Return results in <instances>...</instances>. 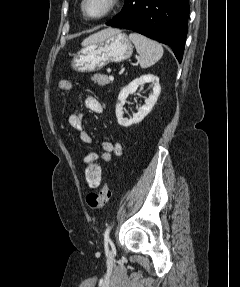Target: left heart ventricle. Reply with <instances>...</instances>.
I'll return each mask as SVG.
<instances>
[{
	"mask_svg": "<svg viewBox=\"0 0 240 287\" xmlns=\"http://www.w3.org/2000/svg\"><path fill=\"white\" fill-rule=\"evenodd\" d=\"M108 0H87L86 11L90 16L101 14L107 7Z\"/></svg>",
	"mask_w": 240,
	"mask_h": 287,
	"instance_id": "left-heart-ventricle-1",
	"label": "left heart ventricle"
}]
</instances>
